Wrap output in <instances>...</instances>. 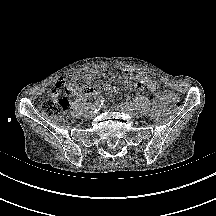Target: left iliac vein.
<instances>
[{"label":"left iliac vein","instance_id":"4c4485c4","mask_svg":"<svg viewBox=\"0 0 216 216\" xmlns=\"http://www.w3.org/2000/svg\"><path fill=\"white\" fill-rule=\"evenodd\" d=\"M114 107H115L117 110L122 111V112H125V113H127V114H129V115H131V116L134 115L133 111L130 110V109H129L128 107H126L125 105H118V104H116Z\"/></svg>","mask_w":216,"mask_h":216}]
</instances>
